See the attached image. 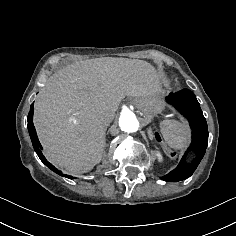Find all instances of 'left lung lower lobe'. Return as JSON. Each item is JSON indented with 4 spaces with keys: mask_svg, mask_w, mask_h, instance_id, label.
I'll list each match as a JSON object with an SVG mask.
<instances>
[{
    "mask_svg": "<svg viewBox=\"0 0 236 236\" xmlns=\"http://www.w3.org/2000/svg\"><path fill=\"white\" fill-rule=\"evenodd\" d=\"M166 100L188 119L192 129V142L179 165L162 177L165 181L177 182L190 177L201 162L208 145V127L199 102L192 91L183 89L171 93ZM188 153H191L192 159L186 162Z\"/></svg>",
    "mask_w": 236,
    "mask_h": 236,
    "instance_id": "left-lung-lower-lobe-1",
    "label": "left lung lower lobe"
}]
</instances>
